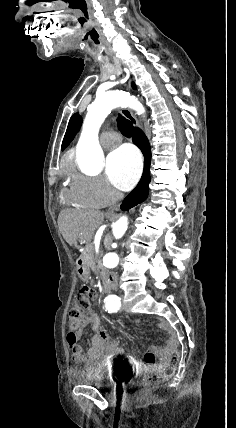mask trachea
Wrapping results in <instances>:
<instances>
[{
	"instance_id": "3493384b",
	"label": "trachea",
	"mask_w": 236,
	"mask_h": 428,
	"mask_svg": "<svg viewBox=\"0 0 236 428\" xmlns=\"http://www.w3.org/2000/svg\"><path fill=\"white\" fill-rule=\"evenodd\" d=\"M85 20H86V25L88 26L87 29V34L89 35V40L91 41V45H92V50L93 51H98L99 50V45H100V35L97 33V29L95 27H93V20H92V15L91 14H86L85 15ZM97 59L100 60L101 63H106L107 62V55L105 51H98L97 52ZM117 125H118V129L121 131V133L125 136V137H131L133 135V127L132 124L129 120H127L125 117H123L122 115H118L117 118Z\"/></svg>"
}]
</instances>
